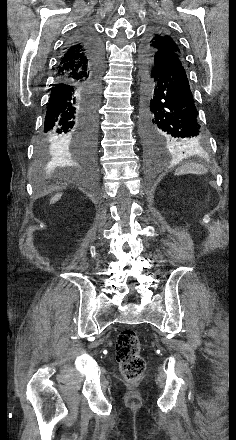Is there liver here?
<instances>
[{
    "mask_svg": "<svg viewBox=\"0 0 236 440\" xmlns=\"http://www.w3.org/2000/svg\"><path fill=\"white\" fill-rule=\"evenodd\" d=\"M62 196V193H57L56 195H54L51 199H50V204L55 203L56 201H58Z\"/></svg>",
    "mask_w": 236,
    "mask_h": 440,
    "instance_id": "1",
    "label": "liver"
}]
</instances>
